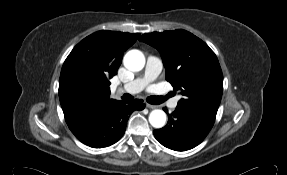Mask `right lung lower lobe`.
<instances>
[{
    "label": "right lung lower lobe",
    "mask_w": 287,
    "mask_h": 175,
    "mask_svg": "<svg viewBox=\"0 0 287 175\" xmlns=\"http://www.w3.org/2000/svg\"><path fill=\"white\" fill-rule=\"evenodd\" d=\"M143 100L114 101L89 119L76 122L70 130L85 145L103 148L116 143L125 133L127 120L134 110H143Z\"/></svg>",
    "instance_id": "right-lung-lower-lobe-1"
}]
</instances>
